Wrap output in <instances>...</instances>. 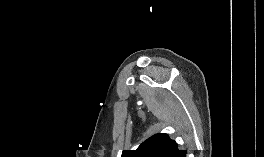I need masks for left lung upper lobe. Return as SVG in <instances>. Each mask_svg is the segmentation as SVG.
<instances>
[{
	"label": "left lung upper lobe",
	"instance_id": "obj_1",
	"mask_svg": "<svg viewBox=\"0 0 264 157\" xmlns=\"http://www.w3.org/2000/svg\"><path fill=\"white\" fill-rule=\"evenodd\" d=\"M186 153L167 134L158 133L144 141L136 150H123L121 157H186Z\"/></svg>",
	"mask_w": 264,
	"mask_h": 157
}]
</instances>
